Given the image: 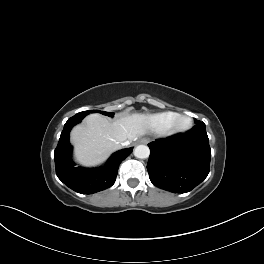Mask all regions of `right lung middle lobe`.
<instances>
[{
  "label": "right lung middle lobe",
  "mask_w": 264,
  "mask_h": 264,
  "mask_svg": "<svg viewBox=\"0 0 264 264\" xmlns=\"http://www.w3.org/2000/svg\"><path fill=\"white\" fill-rule=\"evenodd\" d=\"M95 112L101 113V114L106 115V116H109V117H112L114 115L113 112H104V111H98V110L83 111V112L77 113L76 115L77 116H84L85 117L86 115H88L90 113H95Z\"/></svg>",
  "instance_id": "right-lung-middle-lobe-1"
}]
</instances>
